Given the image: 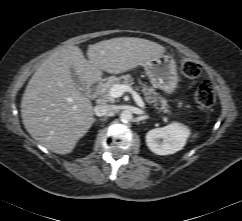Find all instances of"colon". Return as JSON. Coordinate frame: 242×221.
<instances>
[{"instance_id": "1", "label": "colon", "mask_w": 242, "mask_h": 221, "mask_svg": "<svg viewBox=\"0 0 242 221\" xmlns=\"http://www.w3.org/2000/svg\"><path fill=\"white\" fill-rule=\"evenodd\" d=\"M181 70L186 77L196 78L201 73L200 65L192 59H184L181 63ZM197 104L202 108H209L213 106L216 95L215 89L211 82H203L195 95Z\"/></svg>"}]
</instances>
